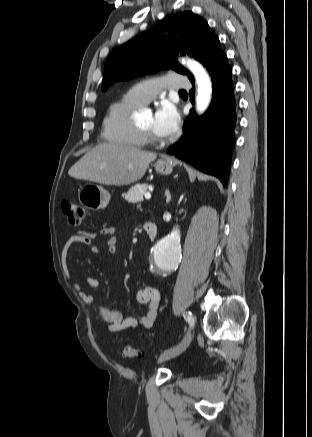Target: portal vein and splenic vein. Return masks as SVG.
<instances>
[{
    "label": "portal vein and splenic vein",
    "instance_id": "portal-vein-and-splenic-vein-1",
    "mask_svg": "<svg viewBox=\"0 0 312 437\" xmlns=\"http://www.w3.org/2000/svg\"><path fill=\"white\" fill-rule=\"evenodd\" d=\"M151 198V194L150 193H146L145 194V199L149 200Z\"/></svg>",
    "mask_w": 312,
    "mask_h": 437
}]
</instances>
